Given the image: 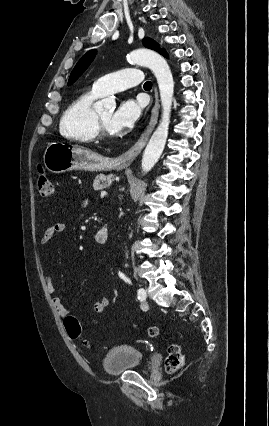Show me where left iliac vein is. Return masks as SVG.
Listing matches in <instances>:
<instances>
[{
    "mask_svg": "<svg viewBox=\"0 0 269 426\" xmlns=\"http://www.w3.org/2000/svg\"><path fill=\"white\" fill-rule=\"evenodd\" d=\"M141 308H142L143 310L148 309V303H147L146 301H143V302H142V304H141Z\"/></svg>",
    "mask_w": 269,
    "mask_h": 426,
    "instance_id": "1",
    "label": "left iliac vein"
}]
</instances>
